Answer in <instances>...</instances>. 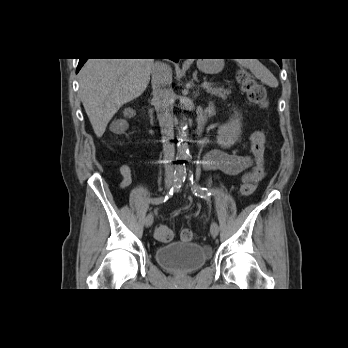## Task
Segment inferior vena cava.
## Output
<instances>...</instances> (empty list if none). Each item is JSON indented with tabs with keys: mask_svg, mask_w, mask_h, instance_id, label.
Segmentation results:
<instances>
[{
	"mask_svg": "<svg viewBox=\"0 0 348 348\" xmlns=\"http://www.w3.org/2000/svg\"><path fill=\"white\" fill-rule=\"evenodd\" d=\"M153 105L161 128L164 159L171 162L175 156V147L170 142L174 138L173 104L175 94L172 89V70L162 63L155 62L151 71Z\"/></svg>",
	"mask_w": 348,
	"mask_h": 348,
	"instance_id": "obj_1",
	"label": "inferior vena cava"
}]
</instances>
